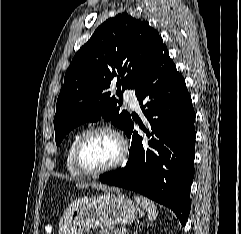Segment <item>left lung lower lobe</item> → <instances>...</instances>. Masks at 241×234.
Returning a JSON list of instances; mask_svg holds the SVG:
<instances>
[{
  "label": "left lung lower lobe",
  "mask_w": 241,
  "mask_h": 234,
  "mask_svg": "<svg viewBox=\"0 0 241 234\" xmlns=\"http://www.w3.org/2000/svg\"><path fill=\"white\" fill-rule=\"evenodd\" d=\"M134 88L147 128L139 119L133 120L145 135L133 131L130 116L125 131L132 140L129 159L123 168L102 174L99 180L169 207L184 226L194 177L195 112L185 80L167 47L159 51Z\"/></svg>",
  "instance_id": "left-lung-lower-lobe-1"
}]
</instances>
